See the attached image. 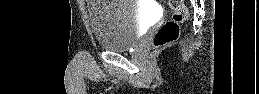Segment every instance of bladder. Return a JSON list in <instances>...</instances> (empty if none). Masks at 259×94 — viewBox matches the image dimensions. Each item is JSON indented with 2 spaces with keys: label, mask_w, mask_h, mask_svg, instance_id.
Returning a JSON list of instances; mask_svg holds the SVG:
<instances>
[{
  "label": "bladder",
  "mask_w": 259,
  "mask_h": 94,
  "mask_svg": "<svg viewBox=\"0 0 259 94\" xmlns=\"http://www.w3.org/2000/svg\"><path fill=\"white\" fill-rule=\"evenodd\" d=\"M88 22L99 48L122 52L134 48L145 25L135 0H93L88 2Z\"/></svg>",
  "instance_id": "obj_1"
}]
</instances>
